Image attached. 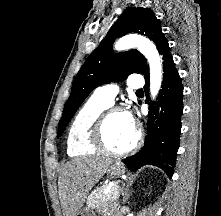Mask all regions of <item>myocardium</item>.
<instances>
[{
	"label": "myocardium",
	"instance_id": "f54148a6",
	"mask_svg": "<svg viewBox=\"0 0 221 216\" xmlns=\"http://www.w3.org/2000/svg\"><path fill=\"white\" fill-rule=\"evenodd\" d=\"M116 113H125V111L120 107H111L103 111L94 125L92 131V142L97 150L111 156L120 157L132 153L139 147L142 141V133L140 129H135L134 141L125 149L114 150L110 148L105 141V127L109 118Z\"/></svg>",
	"mask_w": 221,
	"mask_h": 216
}]
</instances>
